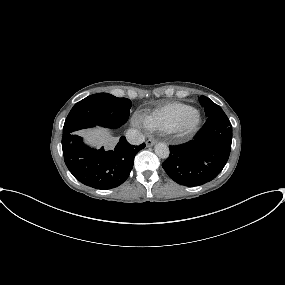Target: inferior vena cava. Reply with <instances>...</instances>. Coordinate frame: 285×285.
<instances>
[{"label":"inferior vena cava","mask_w":285,"mask_h":285,"mask_svg":"<svg viewBox=\"0 0 285 285\" xmlns=\"http://www.w3.org/2000/svg\"><path fill=\"white\" fill-rule=\"evenodd\" d=\"M126 139L132 145H140L144 142V136L136 129H129L126 132Z\"/></svg>","instance_id":"inferior-vena-cava-1"}]
</instances>
